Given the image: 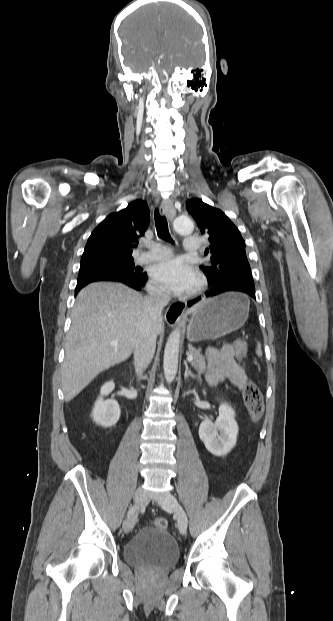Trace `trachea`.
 <instances>
[{
    "instance_id": "3493384b",
    "label": "trachea",
    "mask_w": 333,
    "mask_h": 621,
    "mask_svg": "<svg viewBox=\"0 0 333 621\" xmlns=\"http://www.w3.org/2000/svg\"><path fill=\"white\" fill-rule=\"evenodd\" d=\"M154 218H155V226H156L158 237L165 241L174 243L169 233L167 220L165 216L160 215L159 210L157 208L155 209V212H154Z\"/></svg>"
}]
</instances>
